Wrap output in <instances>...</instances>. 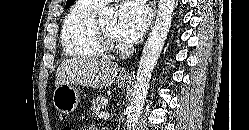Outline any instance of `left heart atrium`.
I'll use <instances>...</instances> for the list:
<instances>
[{
  "label": "left heart atrium",
  "instance_id": "obj_1",
  "mask_svg": "<svg viewBox=\"0 0 249 130\" xmlns=\"http://www.w3.org/2000/svg\"><path fill=\"white\" fill-rule=\"evenodd\" d=\"M149 21V11L141 0L123 2L116 26L118 39L124 44L135 43L145 32Z\"/></svg>",
  "mask_w": 249,
  "mask_h": 130
}]
</instances>
